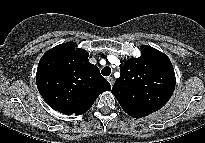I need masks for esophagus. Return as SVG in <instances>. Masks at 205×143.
Listing matches in <instances>:
<instances>
[{
  "label": "esophagus",
  "instance_id": "1",
  "mask_svg": "<svg viewBox=\"0 0 205 143\" xmlns=\"http://www.w3.org/2000/svg\"><path fill=\"white\" fill-rule=\"evenodd\" d=\"M108 82L110 83V85L112 86L114 84V78L109 76L107 77Z\"/></svg>",
  "mask_w": 205,
  "mask_h": 143
}]
</instances>
